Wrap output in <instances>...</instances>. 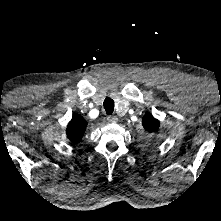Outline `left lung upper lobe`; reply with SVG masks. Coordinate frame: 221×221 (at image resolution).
<instances>
[{
	"label": "left lung upper lobe",
	"mask_w": 221,
	"mask_h": 221,
	"mask_svg": "<svg viewBox=\"0 0 221 221\" xmlns=\"http://www.w3.org/2000/svg\"><path fill=\"white\" fill-rule=\"evenodd\" d=\"M142 125L146 131L152 133L158 129L160 123L151 114H147L143 117Z\"/></svg>",
	"instance_id": "obj_1"
}]
</instances>
